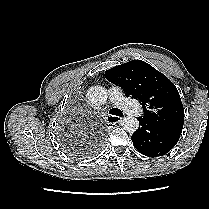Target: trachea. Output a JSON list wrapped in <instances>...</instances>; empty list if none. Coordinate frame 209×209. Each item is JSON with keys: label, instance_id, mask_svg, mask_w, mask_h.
<instances>
[{"label": "trachea", "instance_id": "1", "mask_svg": "<svg viewBox=\"0 0 209 209\" xmlns=\"http://www.w3.org/2000/svg\"><path fill=\"white\" fill-rule=\"evenodd\" d=\"M109 113H110L111 115L120 116V117L123 115V113L121 112V110H119L118 108H112V109L109 111Z\"/></svg>", "mask_w": 209, "mask_h": 209}]
</instances>
